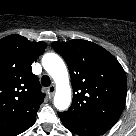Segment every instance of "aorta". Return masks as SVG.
Wrapping results in <instances>:
<instances>
[{"label":"aorta","mask_w":136,"mask_h":136,"mask_svg":"<svg viewBox=\"0 0 136 136\" xmlns=\"http://www.w3.org/2000/svg\"><path fill=\"white\" fill-rule=\"evenodd\" d=\"M42 65L56 84L54 106L59 110H66L71 103V87L63 60L55 53H46L42 58Z\"/></svg>","instance_id":"obj_1"}]
</instances>
